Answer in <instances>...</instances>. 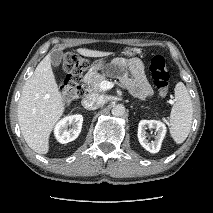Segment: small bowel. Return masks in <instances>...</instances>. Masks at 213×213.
<instances>
[{
	"instance_id": "c3829d8e",
	"label": "small bowel",
	"mask_w": 213,
	"mask_h": 213,
	"mask_svg": "<svg viewBox=\"0 0 213 213\" xmlns=\"http://www.w3.org/2000/svg\"><path fill=\"white\" fill-rule=\"evenodd\" d=\"M113 70L120 74L122 84L137 97L144 99L151 95L152 89L139 59L117 58L113 61Z\"/></svg>"
}]
</instances>
